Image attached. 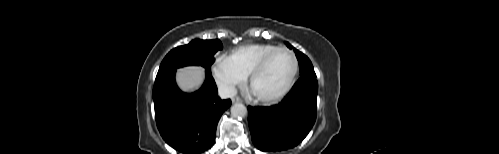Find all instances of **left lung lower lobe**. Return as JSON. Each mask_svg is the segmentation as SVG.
Returning a JSON list of instances; mask_svg holds the SVG:
<instances>
[{
  "label": "left lung lower lobe",
  "instance_id": "1",
  "mask_svg": "<svg viewBox=\"0 0 499 154\" xmlns=\"http://www.w3.org/2000/svg\"><path fill=\"white\" fill-rule=\"evenodd\" d=\"M318 82L301 76L278 105L248 107L253 144L262 151H283L298 145L313 127L317 116Z\"/></svg>",
  "mask_w": 499,
  "mask_h": 154
}]
</instances>
